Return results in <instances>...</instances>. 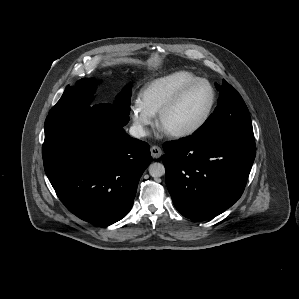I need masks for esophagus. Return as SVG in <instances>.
I'll return each mask as SVG.
<instances>
[{
	"mask_svg": "<svg viewBox=\"0 0 299 299\" xmlns=\"http://www.w3.org/2000/svg\"><path fill=\"white\" fill-rule=\"evenodd\" d=\"M153 158H159L162 155V149L159 146H152L150 149Z\"/></svg>",
	"mask_w": 299,
	"mask_h": 299,
	"instance_id": "34e87169",
	"label": "esophagus"
}]
</instances>
